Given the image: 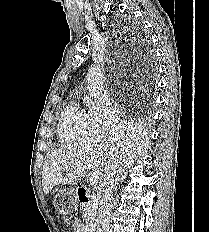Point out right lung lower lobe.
Masks as SVG:
<instances>
[{
  "instance_id": "obj_1",
  "label": "right lung lower lobe",
  "mask_w": 209,
  "mask_h": 232,
  "mask_svg": "<svg viewBox=\"0 0 209 232\" xmlns=\"http://www.w3.org/2000/svg\"><path fill=\"white\" fill-rule=\"evenodd\" d=\"M140 58L147 65V70L145 73H146V77L148 78L151 76L152 69L154 67V53L148 46H146L141 50Z\"/></svg>"
}]
</instances>
